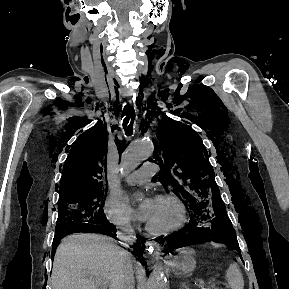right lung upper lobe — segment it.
I'll use <instances>...</instances> for the list:
<instances>
[{
    "label": "right lung upper lobe",
    "instance_id": "obj_1",
    "mask_svg": "<svg viewBox=\"0 0 289 289\" xmlns=\"http://www.w3.org/2000/svg\"><path fill=\"white\" fill-rule=\"evenodd\" d=\"M108 136L102 122H97L75 141L63 167L60 197L71 193L107 187Z\"/></svg>",
    "mask_w": 289,
    "mask_h": 289
}]
</instances>
